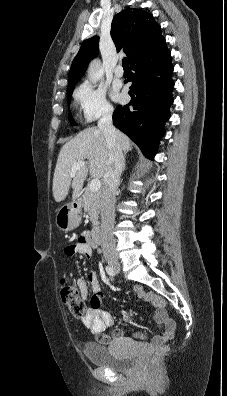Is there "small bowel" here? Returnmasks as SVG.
<instances>
[{"label": "small bowel", "mask_w": 227, "mask_h": 396, "mask_svg": "<svg viewBox=\"0 0 227 396\" xmlns=\"http://www.w3.org/2000/svg\"><path fill=\"white\" fill-rule=\"evenodd\" d=\"M95 248L94 243L86 234H82L77 243L69 245L65 248V254L70 256L74 253L91 257ZM89 287L93 291L92 309L86 311L82 317V322L85 327L96 336V340L100 344H132V343H146L151 348H157L162 343L172 339L175 332V322L170 319L165 311V301L163 298L144 291L140 286H134L133 292L144 301L149 302L154 307V319L156 323L163 327V333L156 335L149 339L144 334H136L134 336H126L123 329L116 328L109 335L105 330L113 324L112 315L105 310L99 308L103 301V294L101 292V285L96 271L91 270L87 278H80L77 280V289L82 299H86L89 295Z\"/></svg>", "instance_id": "c3829d8e"}]
</instances>
